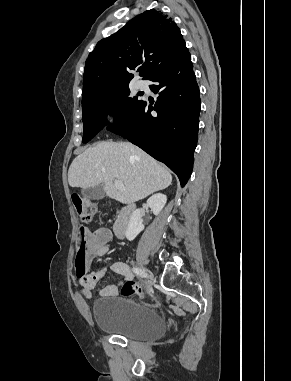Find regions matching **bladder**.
Returning <instances> with one entry per match:
<instances>
[{"mask_svg":"<svg viewBox=\"0 0 291 381\" xmlns=\"http://www.w3.org/2000/svg\"><path fill=\"white\" fill-rule=\"evenodd\" d=\"M93 318L99 329L138 341L155 340L166 331V323L156 310L126 298L96 302Z\"/></svg>","mask_w":291,"mask_h":381,"instance_id":"obj_1","label":"bladder"}]
</instances>
